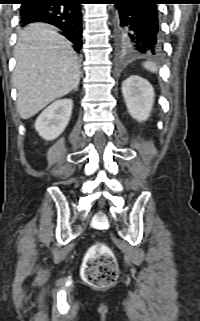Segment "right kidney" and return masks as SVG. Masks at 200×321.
Segmentation results:
<instances>
[{
  "instance_id": "obj_1",
  "label": "right kidney",
  "mask_w": 200,
  "mask_h": 321,
  "mask_svg": "<svg viewBox=\"0 0 200 321\" xmlns=\"http://www.w3.org/2000/svg\"><path fill=\"white\" fill-rule=\"evenodd\" d=\"M73 108L71 99H60L49 105L37 118L35 129L45 140H54L67 127Z\"/></svg>"
}]
</instances>
